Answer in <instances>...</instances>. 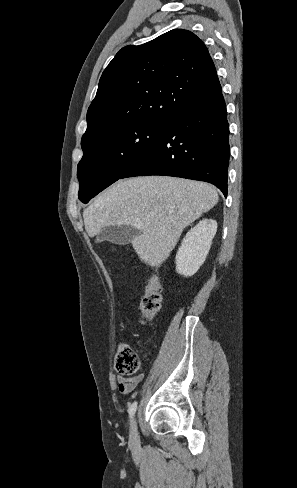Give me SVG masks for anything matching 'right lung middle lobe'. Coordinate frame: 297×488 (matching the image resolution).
<instances>
[{"label": "right lung middle lobe", "instance_id": "obj_1", "mask_svg": "<svg viewBox=\"0 0 297 488\" xmlns=\"http://www.w3.org/2000/svg\"><path fill=\"white\" fill-rule=\"evenodd\" d=\"M169 121H143L101 137L85 150L78 164L79 200L87 203L121 177L149 150Z\"/></svg>", "mask_w": 297, "mask_h": 488}]
</instances>
